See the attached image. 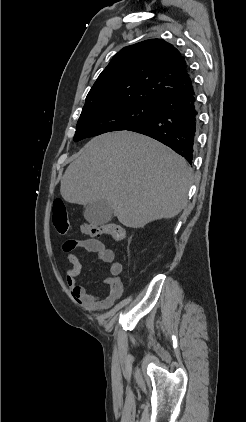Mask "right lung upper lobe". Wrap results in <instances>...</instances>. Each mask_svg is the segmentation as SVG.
<instances>
[{
	"label": "right lung upper lobe",
	"mask_w": 246,
	"mask_h": 422,
	"mask_svg": "<svg viewBox=\"0 0 246 422\" xmlns=\"http://www.w3.org/2000/svg\"><path fill=\"white\" fill-rule=\"evenodd\" d=\"M192 87L179 50L163 39H149L113 57L89 91L84 107L117 100L157 104Z\"/></svg>",
	"instance_id": "cb5924a9"
}]
</instances>
